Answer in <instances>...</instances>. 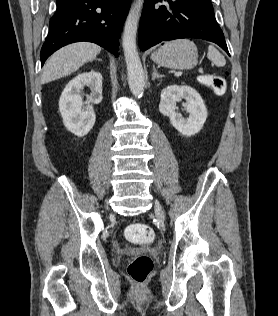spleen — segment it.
Masks as SVG:
<instances>
[{
    "label": "spleen",
    "instance_id": "spleen-1",
    "mask_svg": "<svg viewBox=\"0 0 278 316\" xmlns=\"http://www.w3.org/2000/svg\"><path fill=\"white\" fill-rule=\"evenodd\" d=\"M207 57L219 67L226 63L224 56L212 45L208 47Z\"/></svg>",
    "mask_w": 278,
    "mask_h": 316
}]
</instances>
